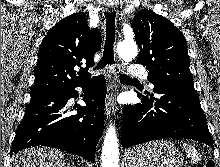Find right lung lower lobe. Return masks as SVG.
Returning a JSON list of instances; mask_svg holds the SVG:
<instances>
[{"mask_svg": "<svg viewBox=\"0 0 220 167\" xmlns=\"http://www.w3.org/2000/svg\"><path fill=\"white\" fill-rule=\"evenodd\" d=\"M76 87L87 88L86 106H74L70 114L67 102L77 98ZM106 86L104 76L93 80L31 96L25 115L17 128L10 155L31 147L44 145L77 154L95 161L96 145L104 129Z\"/></svg>", "mask_w": 220, "mask_h": 167, "instance_id": "98d812e1", "label": "right lung lower lobe"}]
</instances>
